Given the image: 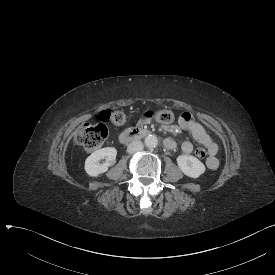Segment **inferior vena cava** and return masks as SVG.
I'll return each mask as SVG.
<instances>
[{"label":"inferior vena cava","mask_w":275,"mask_h":275,"mask_svg":"<svg viewBox=\"0 0 275 275\" xmlns=\"http://www.w3.org/2000/svg\"><path fill=\"white\" fill-rule=\"evenodd\" d=\"M143 148H144V146L141 141H133L128 145L127 151L130 154H134L137 152H141L143 150Z\"/></svg>","instance_id":"1"}]
</instances>
